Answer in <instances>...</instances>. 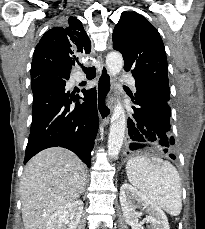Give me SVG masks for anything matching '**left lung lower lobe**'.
I'll return each instance as SVG.
<instances>
[{"instance_id": "left-lung-lower-lobe-1", "label": "left lung lower lobe", "mask_w": 205, "mask_h": 229, "mask_svg": "<svg viewBox=\"0 0 205 229\" xmlns=\"http://www.w3.org/2000/svg\"><path fill=\"white\" fill-rule=\"evenodd\" d=\"M136 94L135 106L132 107L134 113L128 118L130 150L155 148L175 159L169 102L144 88L137 89Z\"/></svg>"}]
</instances>
